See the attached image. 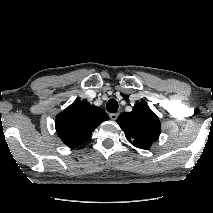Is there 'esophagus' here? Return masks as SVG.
Segmentation results:
<instances>
[{
  "label": "esophagus",
  "instance_id": "34e87169",
  "mask_svg": "<svg viewBox=\"0 0 213 213\" xmlns=\"http://www.w3.org/2000/svg\"><path fill=\"white\" fill-rule=\"evenodd\" d=\"M118 115H119L118 113H110L109 117L111 120H116L118 118Z\"/></svg>",
  "mask_w": 213,
  "mask_h": 213
}]
</instances>
